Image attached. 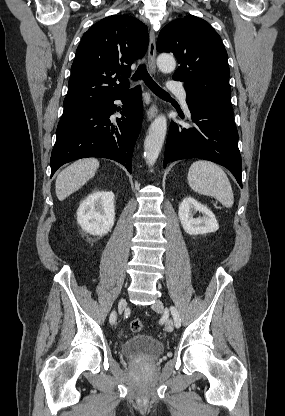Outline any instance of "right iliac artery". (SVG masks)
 Returning a JSON list of instances; mask_svg holds the SVG:
<instances>
[{"mask_svg": "<svg viewBox=\"0 0 285 416\" xmlns=\"http://www.w3.org/2000/svg\"><path fill=\"white\" fill-rule=\"evenodd\" d=\"M115 320H116V313H115V311H113L110 315L109 321H110L111 324H113V323H115Z\"/></svg>", "mask_w": 285, "mask_h": 416, "instance_id": "right-iliac-artery-1", "label": "right iliac artery"}]
</instances>
